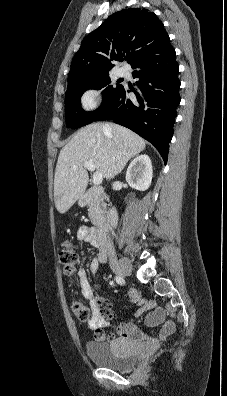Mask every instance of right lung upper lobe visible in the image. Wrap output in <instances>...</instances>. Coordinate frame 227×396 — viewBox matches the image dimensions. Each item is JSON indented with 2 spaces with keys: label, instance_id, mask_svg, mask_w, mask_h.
<instances>
[{
  "label": "right lung upper lobe",
  "instance_id": "right-lung-upper-lobe-1",
  "mask_svg": "<svg viewBox=\"0 0 227 396\" xmlns=\"http://www.w3.org/2000/svg\"><path fill=\"white\" fill-rule=\"evenodd\" d=\"M170 41L163 23L155 13L128 8L112 14L88 34L75 54L68 74V88L77 83L108 74L113 60L126 55L132 65L148 51Z\"/></svg>",
  "mask_w": 227,
  "mask_h": 396
}]
</instances>
